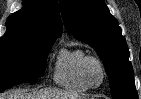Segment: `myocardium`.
<instances>
[{
  "label": "myocardium",
  "instance_id": "obj_1",
  "mask_svg": "<svg viewBox=\"0 0 141 99\" xmlns=\"http://www.w3.org/2000/svg\"><path fill=\"white\" fill-rule=\"evenodd\" d=\"M92 62L96 63L100 67V70L102 73L101 81L98 84L91 83L88 76H87V67ZM80 74H81L82 80L89 88L100 87L105 82V80L107 78V71H106V67H105L104 62L102 61V59L100 57L95 56V55H87L83 59V61L81 63V67H80Z\"/></svg>",
  "mask_w": 141,
  "mask_h": 99
}]
</instances>
